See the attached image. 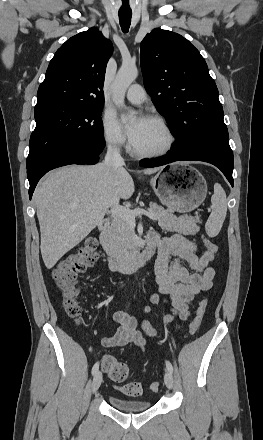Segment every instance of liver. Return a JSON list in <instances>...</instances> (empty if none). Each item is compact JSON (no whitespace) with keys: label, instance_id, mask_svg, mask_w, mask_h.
I'll return each instance as SVG.
<instances>
[{"label":"liver","instance_id":"liver-1","mask_svg":"<svg viewBox=\"0 0 263 440\" xmlns=\"http://www.w3.org/2000/svg\"><path fill=\"white\" fill-rule=\"evenodd\" d=\"M162 168L145 169L144 174ZM124 168L111 171L104 162L68 166L50 172L35 189L34 201L41 232V254L51 269L103 220L110 207L134 193Z\"/></svg>","mask_w":263,"mask_h":440}]
</instances>
